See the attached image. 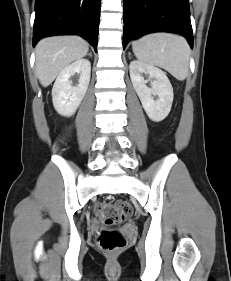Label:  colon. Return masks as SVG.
<instances>
[{
    "label": "colon",
    "instance_id": "obj_1",
    "mask_svg": "<svg viewBox=\"0 0 231 281\" xmlns=\"http://www.w3.org/2000/svg\"><path fill=\"white\" fill-rule=\"evenodd\" d=\"M97 217L107 226H113L129 217L132 213L131 206L122 201L99 203L96 206ZM98 243L102 249L114 252L125 246L126 240L117 230H103L98 235Z\"/></svg>",
    "mask_w": 231,
    "mask_h": 281
}]
</instances>
